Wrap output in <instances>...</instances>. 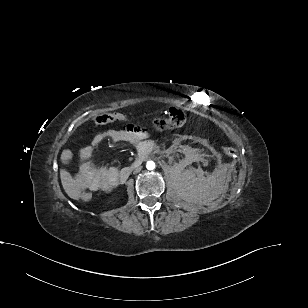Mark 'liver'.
I'll use <instances>...</instances> for the list:
<instances>
[{"label": "liver", "mask_w": 308, "mask_h": 308, "mask_svg": "<svg viewBox=\"0 0 308 308\" xmlns=\"http://www.w3.org/2000/svg\"><path fill=\"white\" fill-rule=\"evenodd\" d=\"M60 178L63 185L65 192L68 194L69 197L73 199L78 198V190L76 188L75 182L72 179L69 172L64 169L60 171Z\"/></svg>", "instance_id": "1"}]
</instances>
